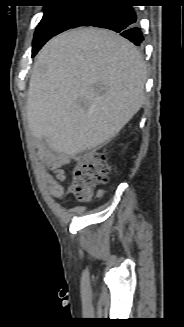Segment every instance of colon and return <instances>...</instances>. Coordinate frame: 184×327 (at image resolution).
I'll use <instances>...</instances> for the list:
<instances>
[{
	"label": "colon",
	"mask_w": 184,
	"mask_h": 327,
	"mask_svg": "<svg viewBox=\"0 0 184 327\" xmlns=\"http://www.w3.org/2000/svg\"><path fill=\"white\" fill-rule=\"evenodd\" d=\"M109 174L104 154H90L72 173L71 186L75 197L84 202L91 200L96 188L107 183Z\"/></svg>",
	"instance_id": "colon-1"
}]
</instances>
